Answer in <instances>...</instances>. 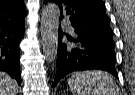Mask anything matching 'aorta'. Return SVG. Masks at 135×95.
I'll return each mask as SVG.
<instances>
[{
    "mask_svg": "<svg viewBox=\"0 0 135 95\" xmlns=\"http://www.w3.org/2000/svg\"><path fill=\"white\" fill-rule=\"evenodd\" d=\"M59 18L58 5L49 3L44 8L41 18L42 48L48 63L54 62L57 56Z\"/></svg>",
    "mask_w": 135,
    "mask_h": 95,
    "instance_id": "1",
    "label": "aorta"
}]
</instances>
